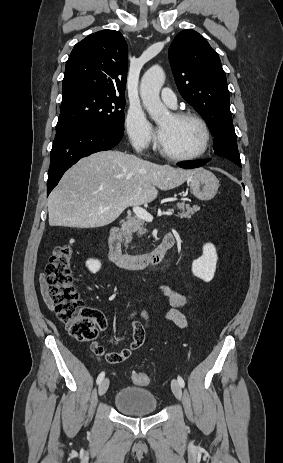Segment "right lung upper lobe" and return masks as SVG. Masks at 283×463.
<instances>
[{"label":"right lung upper lobe","instance_id":"obj_1","mask_svg":"<svg viewBox=\"0 0 283 463\" xmlns=\"http://www.w3.org/2000/svg\"><path fill=\"white\" fill-rule=\"evenodd\" d=\"M127 52L123 35L114 30L93 33L77 43L66 62L62 103L84 94L124 97Z\"/></svg>","mask_w":283,"mask_h":463}]
</instances>
